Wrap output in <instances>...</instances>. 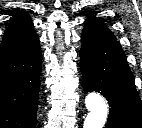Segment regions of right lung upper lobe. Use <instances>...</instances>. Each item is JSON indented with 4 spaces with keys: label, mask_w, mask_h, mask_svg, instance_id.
Returning a JSON list of instances; mask_svg holds the SVG:
<instances>
[{
    "label": "right lung upper lobe",
    "mask_w": 142,
    "mask_h": 128,
    "mask_svg": "<svg viewBox=\"0 0 142 128\" xmlns=\"http://www.w3.org/2000/svg\"><path fill=\"white\" fill-rule=\"evenodd\" d=\"M38 40L29 15L23 11H17L5 31L0 47V62L25 52Z\"/></svg>",
    "instance_id": "1"
}]
</instances>
